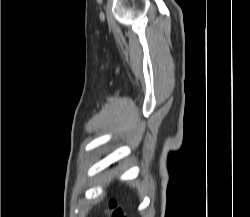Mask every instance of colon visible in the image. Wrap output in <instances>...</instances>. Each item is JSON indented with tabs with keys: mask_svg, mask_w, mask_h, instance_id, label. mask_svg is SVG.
<instances>
[{
	"mask_svg": "<svg viewBox=\"0 0 250 217\" xmlns=\"http://www.w3.org/2000/svg\"><path fill=\"white\" fill-rule=\"evenodd\" d=\"M107 217H126V213L116 200L111 199L106 208Z\"/></svg>",
	"mask_w": 250,
	"mask_h": 217,
	"instance_id": "colon-1",
	"label": "colon"
}]
</instances>
